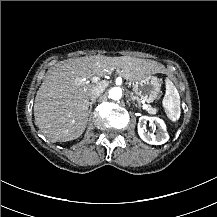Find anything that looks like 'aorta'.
<instances>
[{
    "label": "aorta",
    "instance_id": "1",
    "mask_svg": "<svg viewBox=\"0 0 217 217\" xmlns=\"http://www.w3.org/2000/svg\"><path fill=\"white\" fill-rule=\"evenodd\" d=\"M108 97L115 101L120 100L122 97V90L119 87L111 88L108 92Z\"/></svg>",
    "mask_w": 217,
    "mask_h": 217
}]
</instances>
